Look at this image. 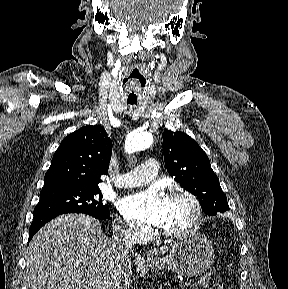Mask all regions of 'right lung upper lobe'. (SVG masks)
Here are the masks:
<instances>
[{"label": "right lung upper lobe", "mask_w": 288, "mask_h": 289, "mask_svg": "<svg viewBox=\"0 0 288 289\" xmlns=\"http://www.w3.org/2000/svg\"><path fill=\"white\" fill-rule=\"evenodd\" d=\"M112 142L101 126H85L63 139L45 174L44 187H98L108 174Z\"/></svg>", "instance_id": "cb5924a9"}]
</instances>
